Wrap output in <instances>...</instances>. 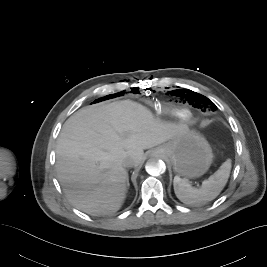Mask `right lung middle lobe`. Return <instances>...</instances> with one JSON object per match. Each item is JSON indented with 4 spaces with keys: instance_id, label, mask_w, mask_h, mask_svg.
Returning a JSON list of instances; mask_svg holds the SVG:
<instances>
[{
    "instance_id": "obj_1",
    "label": "right lung middle lobe",
    "mask_w": 267,
    "mask_h": 267,
    "mask_svg": "<svg viewBox=\"0 0 267 267\" xmlns=\"http://www.w3.org/2000/svg\"><path fill=\"white\" fill-rule=\"evenodd\" d=\"M121 95H123V92H119V93H116V94L108 95V96H106L104 98H100V99H98L96 101L105 100V99H109V98H113V97L121 96Z\"/></svg>"
}]
</instances>
